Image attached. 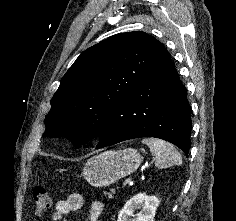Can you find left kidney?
Returning <instances> with one entry per match:
<instances>
[{
    "mask_svg": "<svg viewBox=\"0 0 236 221\" xmlns=\"http://www.w3.org/2000/svg\"><path fill=\"white\" fill-rule=\"evenodd\" d=\"M158 206L159 199L157 197L148 196L145 193L136 194L126 202L117 221H131L130 216L136 217L132 221H154ZM137 209H141V211L134 215V211Z\"/></svg>",
    "mask_w": 236,
    "mask_h": 221,
    "instance_id": "5707ae66",
    "label": "left kidney"
}]
</instances>
